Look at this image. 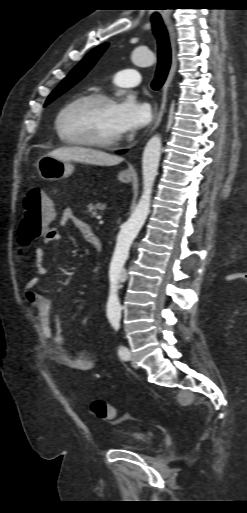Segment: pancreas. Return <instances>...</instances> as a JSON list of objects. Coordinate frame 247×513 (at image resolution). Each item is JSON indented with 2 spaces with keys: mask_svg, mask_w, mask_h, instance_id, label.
I'll return each instance as SVG.
<instances>
[{
  "mask_svg": "<svg viewBox=\"0 0 247 513\" xmlns=\"http://www.w3.org/2000/svg\"><path fill=\"white\" fill-rule=\"evenodd\" d=\"M106 205L102 203L89 204L87 206L88 211L91 213V217H96L99 211H103Z\"/></svg>",
  "mask_w": 247,
  "mask_h": 513,
  "instance_id": "1",
  "label": "pancreas"
}]
</instances>
